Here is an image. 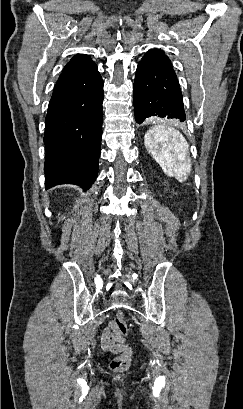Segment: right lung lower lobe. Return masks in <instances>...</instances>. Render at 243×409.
Listing matches in <instances>:
<instances>
[{
  "mask_svg": "<svg viewBox=\"0 0 243 409\" xmlns=\"http://www.w3.org/2000/svg\"><path fill=\"white\" fill-rule=\"evenodd\" d=\"M103 80L97 66L62 73L45 119V186L90 188L98 174L102 139Z\"/></svg>",
  "mask_w": 243,
  "mask_h": 409,
  "instance_id": "98d812e1",
  "label": "right lung lower lobe"
}]
</instances>
